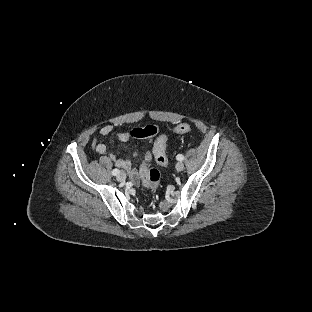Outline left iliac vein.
Wrapping results in <instances>:
<instances>
[{
    "label": "left iliac vein",
    "mask_w": 312,
    "mask_h": 312,
    "mask_svg": "<svg viewBox=\"0 0 312 312\" xmlns=\"http://www.w3.org/2000/svg\"><path fill=\"white\" fill-rule=\"evenodd\" d=\"M184 169V164H183V162H181V161H179V162H177V164H176V170L177 171H182Z\"/></svg>",
    "instance_id": "left-iliac-vein-1"
}]
</instances>
